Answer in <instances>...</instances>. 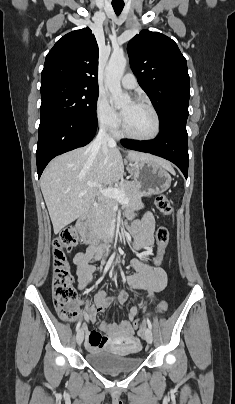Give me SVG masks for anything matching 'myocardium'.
<instances>
[{"label": "myocardium", "mask_w": 235, "mask_h": 404, "mask_svg": "<svg viewBox=\"0 0 235 404\" xmlns=\"http://www.w3.org/2000/svg\"><path fill=\"white\" fill-rule=\"evenodd\" d=\"M134 103L146 107L152 113V115L154 117V130H153L152 134H150L148 136H136L127 130L124 120H123V118H121V133L129 139L134 140V141H139V142H148V141H152V140L156 139L159 136L160 130H161V121H160V116H159L157 110L150 102H148L144 99H136V100H134Z\"/></svg>", "instance_id": "obj_1"}]
</instances>
